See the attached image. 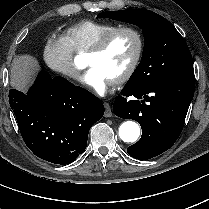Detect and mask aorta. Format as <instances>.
Returning a JSON list of instances; mask_svg holds the SVG:
<instances>
[{
  "label": "aorta",
  "instance_id": "obj_1",
  "mask_svg": "<svg viewBox=\"0 0 209 209\" xmlns=\"http://www.w3.org/2000/svg\"><path fill=\"white\" fill-rule=\"evenodd\" d=\"M140 136V126L134 121H126L119 127V137L124 142H135Z\"/></svg>",
  "mask_w": 209,
  "mask_h": 209
}]
</instances>
